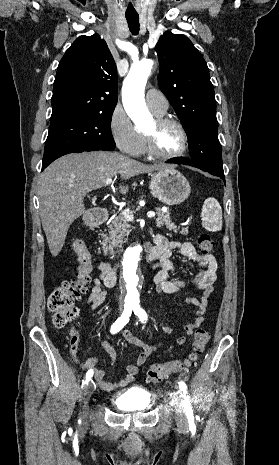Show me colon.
Listing matches in <instances>:
<instances>
[{
    "mask_svg": "<svg viewBox=\"0 0 279 465\" xmlns=\"http://www.w3.org/2000/svg\"><path fill=\"white\" fill-rule=\"evenodd\" d=\"M196 243L203 254H209L215 248V242L207 233H202L197 237ZM71 248L77 256V271L70 280H65L56 287L48 298V308L52 312V322L56 328H63L74 322L79 317V309L76 301L87 292L88 284L91 282L93 271L92 255L82 240L76 239L72 242ZM210 334L205 329L199 328L194 333L192 350L184 360H174L167 363H157L149 367L147 378L152 383H159L170 374L182 372L188 369L199 356L204 352ZM78 337L72 335V349L76 350Z\"/></svg>",
    "mask_w": 279,
    "mask_h": 465,
    "instance_id": "1",
    "label": "colon"
}]
</instances>
